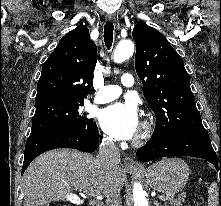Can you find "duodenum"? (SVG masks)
Listing matches in <instances>:
<instances>
[{"mask_svg": "<svg viewBox=\"0 0 221 206\" xmlns=\"http://www.w3.org/2000/svg\"><path fill=\"white\" fill-rule=\"evenodd\" d=\"M90 206H103V204L101 202L94 201V202H91Z\"/></svg>", "mask_w": 221, "mask_h": 206, "instance_id": "duodenum-1", "label": "duodenum"}]
</instances>
